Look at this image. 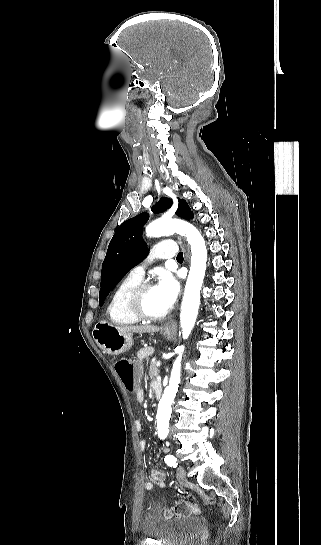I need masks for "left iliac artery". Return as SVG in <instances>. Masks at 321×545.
<instances>
[{"mask_svg":"<svg viewBox=\"0 0 321 545\" xmlns=\"http://www.w3.org/2000/svg\"><path fill=\"white\" fill-rule=\"evenodd\" d=\"M165 463L170 466V467H173V468H176L178 463H177V459L173 456V455H167L165 457Z\"/></svg>","mask_w":321,"mask_h":545,"instance_id":"obj_1","label":"left iliac artery"}]
</instances>
